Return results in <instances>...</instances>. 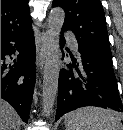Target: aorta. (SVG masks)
I'll return each instance as SVG.
<instances>
[{"mask_svg":"<svg viewBox=\"0 0 123 130\" xmlns=\"http://www.w3.org/2000/svg\"><path fill=\"white\" fill-rule=\"evenodd\" d=\"M65 12L62 8L51 9L48 17L49 45L43 74V112L49 116L53 109L59 79V36L64 23Z\"/></svg>","mask_w":123,"mask_h":130,"instance_id":"762f6f07","label":"aorta"}]
</instances>
